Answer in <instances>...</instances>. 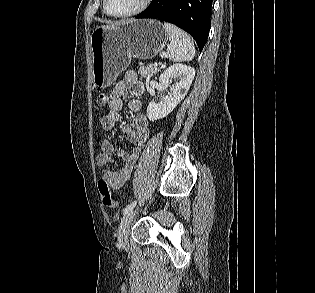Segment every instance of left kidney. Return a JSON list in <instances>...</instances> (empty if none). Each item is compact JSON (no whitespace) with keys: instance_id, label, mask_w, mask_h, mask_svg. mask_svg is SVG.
Instances as JSON below:
<instances>
[{"instance_id":"obj_1","label":"left kidney","mask_w":315,"mask_h":293,"mask_svg":"<svg viewBox=\"0 0 315 293\" xmlns=\"http://www.w3.org/2000/svg\"><path fill=\"white\" fill-rule=\"evenodd\" d=\"M195 76V70L192 67L183 64H174L166 69L159 78L160 83L170 90L161 102H150L147 107V117L150 121H155L168 116L174 108L186 96ZM172 79H177L172 84Z\"/></svg>"}]
</instances>
